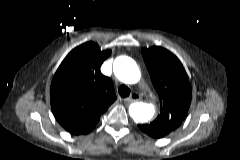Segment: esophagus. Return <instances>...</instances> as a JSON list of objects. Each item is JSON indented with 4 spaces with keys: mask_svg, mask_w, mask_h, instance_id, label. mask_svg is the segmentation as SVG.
Segmentation results:
<instances>
[{
    "mask_svg": "<svg viewBox=\"0 0 240 160\" xmlns=\"http://www.w3.org/2000/svg\"><path fill=\"white\" fill-rule=\"evenodd\" d=\"M140 100H141V95H140L138 92H136V91H134V92L130 95L129 98H126V99H125V101L128 102V103H130V102H138V101H140Z\"/></svg>",
    "mask_w": 240,
    "mask_h": 160,
    "instance_id": "obj_1",
    "label": "esophagus"
}]
</instances>
